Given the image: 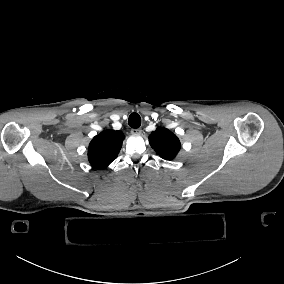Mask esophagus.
<instances>
[{"label":"esophagus","mask_w":284,"mask_h":284,"mask_svg":"<svg viewBox=\"0 0 284 284\" xmlns=\"http://www.w3.org/2000/svg\"><path fill=\"white\" fill-rule=\"evenodd\" d=\"M131 134L132 135H140L141 134V129H131Z\"/></svg>","instance_id":"obj_1"}]
</instances>
